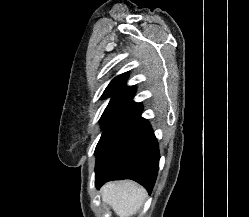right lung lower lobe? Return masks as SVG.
<instances>
[{
	"instance_id": "obj_1",
	"label": "right lung lower lobe",
	"mask_w": 249,
	"mask_h": 217,
	"mask_svg": "<svg viewBox=\"0 0 249 217\" xmlns=\"http://www.w3.org/2000/svg\"><path fill=\"white\" fill-rule=\"evenodd\" d=\"M135 88L120 96L101 118L103 133L95 150V184L132 179L151 193L159 169V147L142 105L132 101Z\"/></svg>"
}]
</instances>
